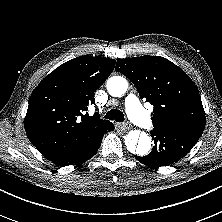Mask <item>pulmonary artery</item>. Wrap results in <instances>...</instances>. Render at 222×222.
Here are the masks:
<instances>
[{
  "label": "pulmonary artery",
  "mask_w": 222,
  "mask_h": 222,
  "mask_svg": "<svg viewBox=\"0 0 222 222\" xmlns=\"http://www.w3.org/2000/svg\"><path fill=\"white\" fill-rule=\"evenodd\" d=\"M126 107L130 118L145 130L153 127L152 121L146 111L140 106L138 100L133 95H128L125 99Z\"/></svg>",
  "instance_id": "pulmonary-artery-1"
}]
</instances>
